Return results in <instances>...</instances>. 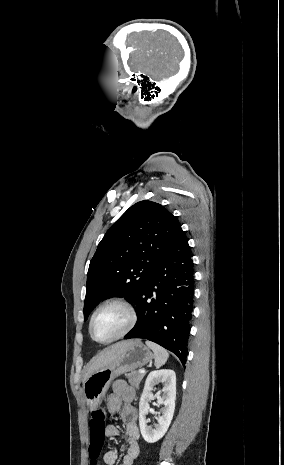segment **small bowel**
<instances>
[{
  "label": "small bowel",
  "instance_id": "small-bowel-1",
  "mask_svg": "<svg viewBox=\"0 0 284 465\" xmlns=\"http://www.w3.org/2000/svg\"><path fill=\"white\" fill-rule=\"evenodd\" d=\"M135 397V390L123 380H117L113 383L111 393L107 397V408L109 413L111 415L120 414L127 436L126 450L122 457L121 465H133L140 454V432L137 426L138 411L133 405ZM105 434L108 437L116 438L120 435V430L115 424L109 423L106 427ZM117 460V449H108L104 455L105 464L115 465Z\"/></svg>",
  "mask_w": 284,
  "mask_h": 465
}]
</instances>
